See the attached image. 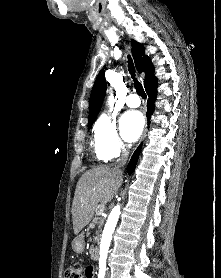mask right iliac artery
Here are the masks:
<instances>
[{"label":"right iliac artery","mask_w":221,"mask_h":278,"mask_svg":"<svg viewBox=\"0 0 221 278\" xmlns=\"http://www.w3.org/2000/svg\"><path fill=\"white\" fill-rule=\"evenodd\" d=\"M104 276H105V265H100L98 278H104Z\"/></svg>","instance_id":"1"}]
</instances>
